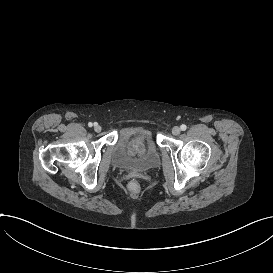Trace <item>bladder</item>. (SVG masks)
I'll list each match as a JSON object with an SVG mask.
<instances>
[{"instance_id": "obj_1", "label": "bladder", "mask_w": 273, "mask_h": 273, "mask_svg": "<svg viewBox=\"0 0 273 273\" xmlns=\"http://www.w3.org/2000/svg\"><path fill=\"white\" fill-rule=\"evenodd\" d=\"M132 136H139L147 143V152L141 158H131L124 153L125 145ZM111 163L124 171L147 172L156 168L160 163V154L151 132L137 129L121 133L112 147Z\"/></svg>"}]
</instances>
